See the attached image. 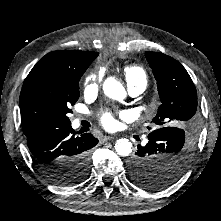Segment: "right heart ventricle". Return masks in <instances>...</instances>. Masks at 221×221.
Segmentation results:
<instances>
[{
  "label": "right heart ventricle",
  "mask_w": 221,
  "mask_h": 221,
  "mask_svg": "<svg viewBox=\"0 0 221 221\" xmlns=\"http://www.w3.org/2000/svg\"><path fill=\"white\" fill-rule=\"evenodd\" d=\"M123 74L128 86H147V74L141 66H126L123 70Z\"/></svg>",
  "instance_id": "obj_1"
}]
</instances>
